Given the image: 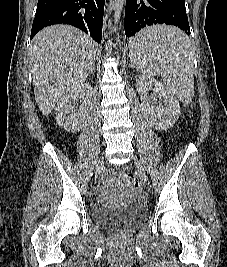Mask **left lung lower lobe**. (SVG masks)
Masks as SVG:
<instances>
[{
    "instance_id": "left-lung-lower-lobe-1",
    "label": "left lung lower lobe",
    "mask_w": 227,
    "mask_h": 267,
    "mask_svg": "<svg viewBox=\"0 0 227 267\" xmlns=\"http://www.w3.org/2000/svg\"><path fill=\"white\" fill-rule=\"evenodd\" d=\"M154 24L174 25L189 35L185 0H126L124 28L126 37L134 36L131 43H138V31ZM159 45L168 48L175 43L165 40Z\"/></svg>"
}]
</instances>
